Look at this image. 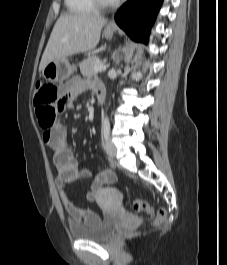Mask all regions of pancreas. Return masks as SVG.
Segmentation results:
<instances>
[{"label": "pancreas", "mask_w": 227, "mask_h": 265, "mask_svg": "<svg viewBox=\"0 0 227 265\" xmlns=\"http://www.w3.org/2000/svg\"><path fill=\"white\" fill-rule=\"evenodd\" d=\"M103 62L99 60L97 56H91L87 59H85L81 64H80V71L83 76L86 77H92L97 74V72L94 71V67L96 65H102Z\"/></svg>", "instance_id": "pancreas-1"}]
</instances>
